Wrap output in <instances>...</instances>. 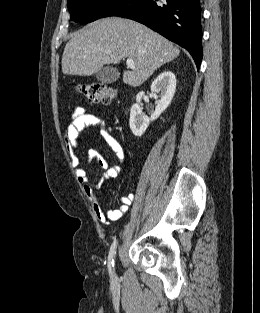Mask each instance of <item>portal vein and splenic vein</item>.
<instances>
[{
	"label": "portal vein and splenic vein",
	"mask_w": 260,
	"mask_h": 313,
	"mask_svg": "<svg viewBox=\"0 0 260 313\" xmlns=\"http://www.w3.org/2000/svg\"><path fill=\"white\" fill-rule=\"evenodd\" d=\"M126 65L130 68H134V61L133 59H127L126 60Z\"/></svg>",
	"instance_id": "1"
}]
</instances>
